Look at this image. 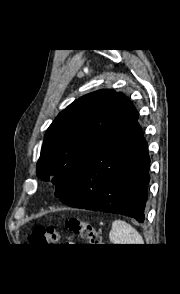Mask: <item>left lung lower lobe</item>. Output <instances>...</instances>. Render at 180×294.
<instances>
[{
	"mask_svg": "<svg viewBox=\"0 0 180 294\" xmlns=\"http://www.w3.org/2000/svg\"><path fill=\"white\" fill-rule=\"evenodd\" d=\"M150 159L131 104L87 163L74 189L60 200L72 207L144 221Z\"/></svg>",
	"mask_w": 180,
	"mask_h": 294,
	"instance_id": "left-lung-lower-lobe-1",
	"label": "left lung lower lobe"
}]
</instances>
